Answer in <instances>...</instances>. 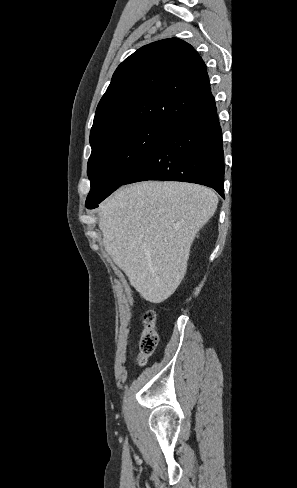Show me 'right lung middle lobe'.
Wrapping results in <instances>:
<instances>
[{"label": "right lung middle lobe", "instance_id": "right-lung-middle-lobe-1", "mask_svg": "<svg viewBox=\"0 0 297 488\" xmlns=\"http://www.w3.org/2000/svg\"><path fill=\"white\" fill-rule=\"evenodd\" d=\"M169 128L159 124L136 125L122 129L91 146L87 168L91 190L86 207H97L121 186Z\"/></svg>", "mask_w": 297, "mask_h": 488}]
</instances>
